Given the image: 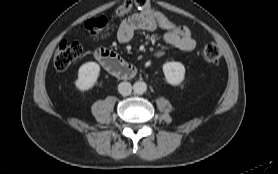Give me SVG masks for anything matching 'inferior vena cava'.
<instances>
[{"mask_svg":"<svg viewBox=\"0 0 278 174\" xmlns=\"http://www.w3.org/2000/svg\"><path fill=\"white\" fill-rule=\"evenodd\" d=\"M118 91L122 96H128L132 92V85L129 82H121L118 85Z\"/></svg>","mask_w":278,"mask_h":174,"instance_id":"602c4592","label":"inferior vena cava"}]
</instances>
